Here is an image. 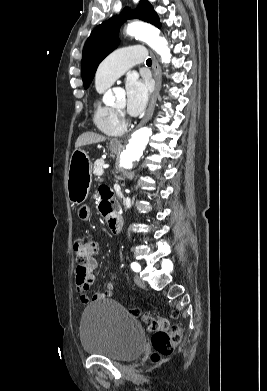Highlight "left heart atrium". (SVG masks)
Here are the masks:
<instances>
[{
	"label": "left heart atrium",
	"instance_id": "obj_1",
	"mask_svg": "<svg viewBox=\"0 0 267 391\" xmlns=\"http://www.w3.org/2000/svg\"><path fill=\"white\" fill-rule=\"evenodd\" d=\"M149 87L145 81L131 76L126 81V108L129 114H140L148 101Z\"/></svg>",
	"mask_w": 267,
	"mask_h": 391
}]
</instances>
